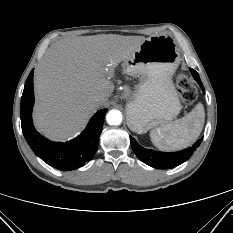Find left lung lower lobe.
Returning <instances> with one entry per match:
<instances>
[{"label": "left lung lower lobe", "instance_id": "1", "mask_svg": "<svg viewBox=\"0 0 233 233\" xmlns=\"http://www.w3.org/2000/svg\"><path fill=\"white\" fill-rule=\"evenodd\" d=\"M190 70L194 79L198 82V84L202 88V91L205 93L204 87L202 85L198 73L194 69L190 68ZM130 140L133 151L136 154V156L145 164L157 169L174 168L184 163L191 157L193 152L196 150V148L199 147L200 143L202 142V139H199L193 146L185 150L172 153H164L148 150L141 147L132 136H130Z\"/></svg>", "mask_w": 233, "mask_h": 233}]
</instances>
